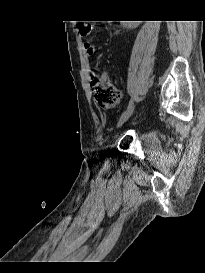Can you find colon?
Wrapping results in <instances>:
<instances>
[{"instance_id":"colon-1","label":"colon","mask_w":205,"mask_h":273,"mask_svg":"<svg viewBox=\"0 0 205 273\" xmlns=\"http://www.w3.org/2000/svg\"><path fill=\"white\" fill-rule=\"evenodd\" d=\"M92 26L87 23L79 22L78 30L81 35L91 32ZM90 86L95 103L102 108L115 106L120 99V90L115 86L106 74L93 72L90 78Z\"/></svg>"}]
</instances>
